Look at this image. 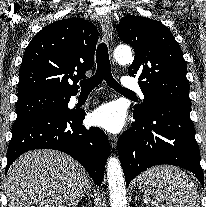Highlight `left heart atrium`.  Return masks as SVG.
Masks as SVG:
<instances>
[{"label":"left heart atrium","mask_w":206,"mask_h":207,"mask_svg":"<svg viewBox=\"0 0 206 207\" xmlns=\"http://www.w3.org/2000/svg\"><path fill=\"white\" fill-rule=\"evenodd\" d=\"M91 121L110 133H119L125 125V114L116 103H107L94 110Z\"/></svg>","instance_id":"39dd6f15"}]
</instances>
